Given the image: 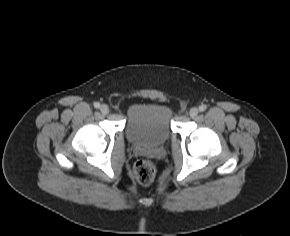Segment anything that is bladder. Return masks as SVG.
<instances>
[{
    "instance_id": "bladder-1",
    "label": "bladder",
    "mask_w": 290,
    "mask_h": 236,
    "mask_svg": "<svg viewBox=\"0 0 290 236\" xmlns=\"http://www.w3.org/2000/svg\"><path fill=\"white\" fill-rule=\"evenodd\" d=\"M172 110L163 104H137L126 120V137L136 145L159 146L171 135Z\"/></svg>"
}]
</instances>
